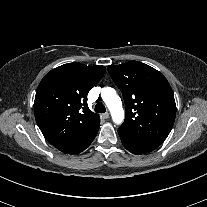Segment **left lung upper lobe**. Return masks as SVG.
<instances>
[{
	"label": "left lung upper lobe",
	"mask_w": 207,
	"mask_h": 207,
	"mask_svg": "<svg viewBox=\"0 0 207 207\" xmlns=\"http://www.w3.org/2000/svg\"><path fill=\"white\" fill-rule=\"evenodd\" d=\"M115 84L121 90L125 106V122L119 131L162 143L175 120L176 104L166 78L156 69L130 61L108 66Z\"/></svg>",
	"instance_id": "obj_1"
}]
</instances>
